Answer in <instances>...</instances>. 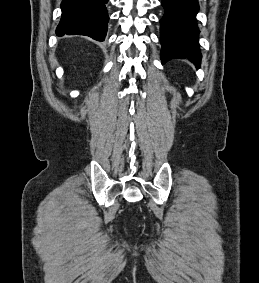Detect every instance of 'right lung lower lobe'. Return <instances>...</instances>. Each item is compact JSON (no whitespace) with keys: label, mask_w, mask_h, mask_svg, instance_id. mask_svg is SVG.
Listing matches in <instances>:
<instances>
[{"label":"right lung lower lobe","mask_w":259,"mask_h":283,"mask_svg":"<svg viewBox=\"0 0 259 283\" xmlns=\"http://www.w3.org/2000/svg\"><path fill=\"white\" fill-rule=\"evenodd\" d=\"M108 0H63L62 16L56 29L58 36L86 35L103 41L109 20L105 4Z\"/></svg>","instance_id":"98d812e1"}]
</instances>
